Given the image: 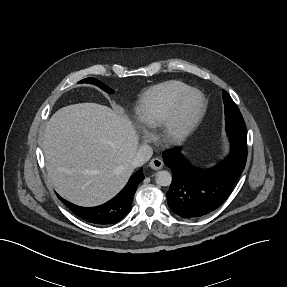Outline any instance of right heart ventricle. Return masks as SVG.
<instances>
[{
  "label": "right heart ventricle",
  "mask_w": 287,
  "mask_h": 287,
  "mask_svg": "<svg viewBox=\"0 0 287 287\" xmlns=\"http://www.w3.org/2000/svg\"><path fill=\"white\" fill-rule=\"evenodd\" d=\"M189 88L180 81H167L150 88L136 109L138 126L146 130L158 127L177 96Z\"/></svg>",
  "instance_id": "e07e8e85"
}]
</instances>
